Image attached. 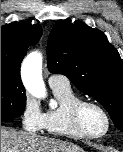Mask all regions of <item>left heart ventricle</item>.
I'll use <instances>...</instances> for the list:
<instances>
[{
  "instance_id": "b2bd125f",
  "label": "left heart ventricle",
  "mask_w": 123,
  "mask_h": 152,
  "mask_svg": "<svg viewBox=\"0 0 123 152\" xmlns=\"http://www.w3.org/2000/svg\"><path fill=\"white\" fill-rule=\"evenodd\" d=\"M81 121L84 128L92 134H100L106 128V120L103 114L92 106L83 109Z\"/></svg>"
}]
</instances>
